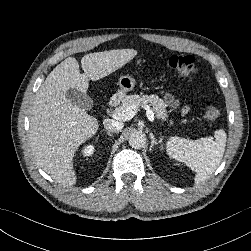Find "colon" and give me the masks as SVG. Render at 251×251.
I'll return each instance as SVG.
<instances>
[{
	"instance_id": "5ec220e1",
	"label": "colon",
	"mask_w": 251,
	"mask_h": 251,
	"mask_svg": "<svg viewBox=\"0 0 251 251\" xmlns=\"http://www.w3.org/2000/svg\"><path fill=\"white\" fill-rule=\"evenodd\" d=\"M168 66L185 77H193L198 70L197 64L193 57L187 55H172L169 57ZM220 116L219 108L212 102H205L204 117L208 121H214Z\"/></svg>"
}]
</instances>
